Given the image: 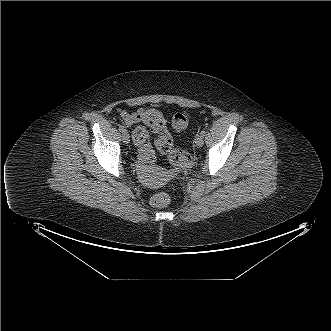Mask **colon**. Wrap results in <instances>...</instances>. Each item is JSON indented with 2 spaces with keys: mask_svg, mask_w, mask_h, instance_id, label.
I'll list each match as a JSON object with an SVG mask.
<instances>
[{
  "mask_svg": "<svg viewBox=\"0 0 331 331\" xmlns=\"http://www.w3.org/2000/svg\"><path fill=\"white\" fill-rule=\"evenodd\" d=\"M190 114L182 111L172 117V127L175 132L184 131L189 124ZM143 123L156 134L155 144L157 149L166 153L169 160L175 167L184 168L191 164V155L184 150L173 147V139L169 132L165 130V119L160 111L154 108L145 109L143 112ZM137 133L144 136L147 131L144 127H139ZM171 200L167 191H161L151 198V204L154 207L161 208L169 204Z\"/></svg>",
  "mask_w": 331,
  "mask_h": 331,
  "instance_id": "colon-1",
  "label": "colon"
}]
</instances>
